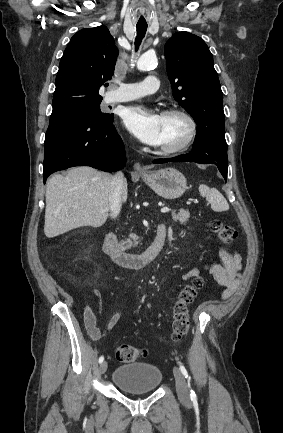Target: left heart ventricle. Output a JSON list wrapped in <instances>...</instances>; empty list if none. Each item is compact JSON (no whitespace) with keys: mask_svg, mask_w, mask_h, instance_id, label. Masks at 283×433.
<instances>
[{"mask_svg":"<svg viewBox=\"0 0 283 433\" xmlns=\"http://www.w3.org/2000/svg\"><path fill=\"white\" fill-rule=\"evenodd\" d=\"M164 140L160 151L177 147L188 134V123L178 115H162Z\"/></svg>","mask_w":283,"mask_h":433,"instance_id":"1","label":"left heart ventricle"}]
</instances>
